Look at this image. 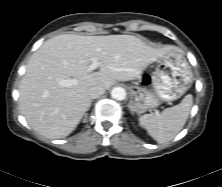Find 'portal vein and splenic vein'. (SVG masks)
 Here are the masks:
<instances>
[{
  "instance_id": "1",
  "label": "portal vein and splenic vein",
  "mask_w": 222,
  "mask_h": 187,
  "mask_svg": "<svg viewBox=\"0 0 222 187\" xmlns=\"http://www.w3.org/2000/svg\"><path fill=\"white\" fill-rule=\"evenodd\" d=\"M97 67H98V63L95 60H93L92 64L88 68V71H93ZM76 83H77V81L75 79H67V80H60L59 81V84L64 87H70V86L75 85Z\"/></svg>"
}]
</instances>
